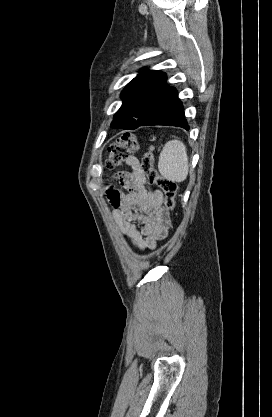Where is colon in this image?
I'll use <instances>...</instances> for the list:
<instances>
[{
    "label": "colon",
    "mask_w": 272,
    "mask_h": 417,
    "mask_svg": "<svg viewBox=\"0 0 272 417\" xmlns=\"http://www.w3.org/2000/svg\"><path fill=\"white\" fill-rule=\"evenodd\" d=\"M139 148L137 137L131 133L121 135L118 140L108 149V157L106 166L114 169L128 158L133 152ZM152 147L145 153L142 158L140 168L149 184H156L161 188L164 194L165 208L172 212L175 208V198L178 191V185L157 171L154 165V156Z\"/></svg>",
    "instance_id": "obj_1"
}]
</instances>
